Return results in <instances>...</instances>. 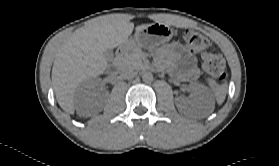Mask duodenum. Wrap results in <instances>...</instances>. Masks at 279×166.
I'll list each match as a JSON object with an SVG mask.
<instances>
[{"mask_svg": "<svg viewBox=\"0 0 279 166\" xmlns=\"http://www.w3.org/2000/svg\"><path fill=\"white\" fill-rule=\"evenodd\" d=\"M131 48H132V44L130 42H127L118 48L116 52V56L110 66L111 73L113 74L117 73L121 69L124 56L126 55L127 52L130 51Z\"/></svg>", "mask_w": 279, "mask_h": 166, "instance_id": "410a0bca", "label": "duodenum"}]
</instances>
